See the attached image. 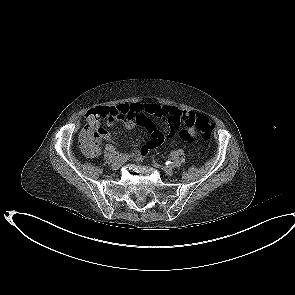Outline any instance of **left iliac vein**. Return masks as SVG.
<instances>
[{
  "instance_id": "1",
  "label": "left iliac vein",
  "mask_w": 295,
  "mask_h": 295,
  "mask_svg": "<svg viewBox=\"0 0 295 295\" xmlns=\"http://www.w3.org/2000/svg\"><path fill=\"white\" fill-rule=\"evenodd\" d=\"M163 170L167 175L169 176L173 175V169L171 167L165 166Z\"/></svg>"
}]
</instances>
